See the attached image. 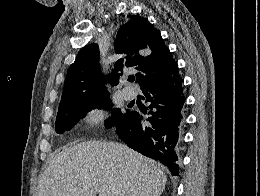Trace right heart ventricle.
I'll return each mask as SVG.
<instances>
[{"label":"right heart ventricle","instance_id":"e07e8e85","mask_svg":"<svg viewBox=\"0 0 260 196\" xmlns=\"http://www.w3.org/2000/svg\"><path fill=\"white\" fill-rule=\"evenodd\" d=\"M65 192H82V190H65Z\"/></svg>","mask_w":260,"mask_h":196}]
</instances>
